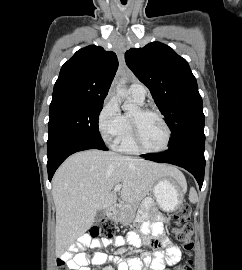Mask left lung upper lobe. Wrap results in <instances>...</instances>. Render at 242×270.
Here are the masks:
<instances>
[{
  "label": "left lung upper lobe",
  "mask_w": 242,
  "mask_h": 270,
  "mask_svg": "<svg viewBox=\"0 0 242 270\" xmlns=\"http://www.w3.org/2000/svg\"><path fill=\"white\" fill-rule=\"evenodd\" d=\"M127 66L150 90L171 130L170 146L204 135L202 98L188 62L160 42L125 53Z\"/></svg>",
  "instance_id": "5c2ea615"
}]
</instances>
